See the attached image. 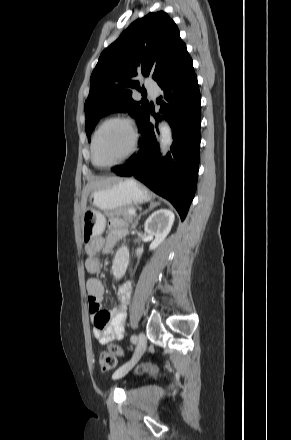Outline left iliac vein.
Wrapping results in <instances>:
<instances>
[{
	"mask_svg": "<svg viewBox=\"0 0 291 440\" xmlns=\"http://www.w3.org/2000/svg\"><path fill=\"white\" fill-rule=\"evenodd\" d=\"M145 349H146V337L143 333H139L137 346L133 358L128 363L118 368L113 374V378L119 379L124 375H126L140 359L142 354L145 352Z\"/></svg>",
	"mask_w": 291,
	"mask_h": 440,
	"instance_id": "1",
	"label": "left iliac vein"
}]
</instances>
